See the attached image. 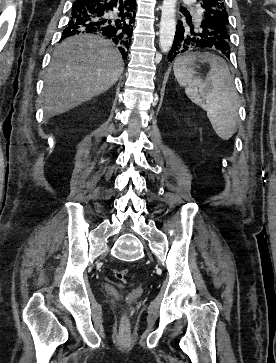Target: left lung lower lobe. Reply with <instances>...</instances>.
<instances>
[{
  "instance_id": "obj_1",
  "label": "left lung lower lobe",
  "mask_w": 276,
  "mask_h": 363,
  "mask_svg": "<svg viewBox=\"0 0 276 363\" xmlns=\"http://www.w3.org/2000/svg\"><path fill=\"white\" fill-rule=\"evenodd\" d=\"M186 20L190 27L183 26L182 21L178 22L172 49L168 53V62L194 49L206 47L216 48L229 57L230 47L227 41L217 36L216 27L209 19H202L195 23H191L188 17Z\"/></svg>"
}]
</instances>
